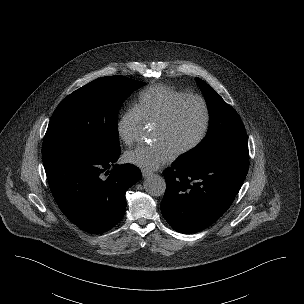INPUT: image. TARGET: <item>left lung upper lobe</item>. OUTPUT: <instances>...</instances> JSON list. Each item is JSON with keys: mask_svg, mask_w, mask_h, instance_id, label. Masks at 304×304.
<instances>
[{"mask_svg": "<svg viewBox=\"0 0 304 304\" xmlns=\"http://www.w3.org/2000/svg\"><path fill=\"white\" fill-rule=\"evenodd\" d=\"M196 81L209 109V130L201 144L181 161L197 167L224 156L248 157L247 134L237 112L207 83L199 78Z\"/></svg>", "mask_w": 304, "mask_h": 304, "instance_id": "left-lung-upper-lobe-1", "label": "left lung upper lobe"}]
</instances>
